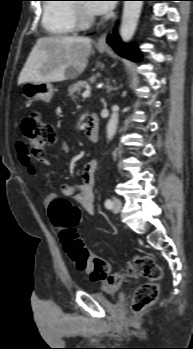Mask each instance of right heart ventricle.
<instances>
[{"label":"right heart ventricle","instance_id":"obj_1","mask_svg":"<svg viewBox=\"0 0 193 349\" xmlns=\"http://www.w3.org/2000/svg\"><path fill=\"white\" fill-rule=\"evenodd\" d=\"M70 1V0H48ZM42 25L54 37H64L76 31L75 4L48 2L43 6Z\"/></svg>","mask_w":193,"mask_h":349}]
</instances>
